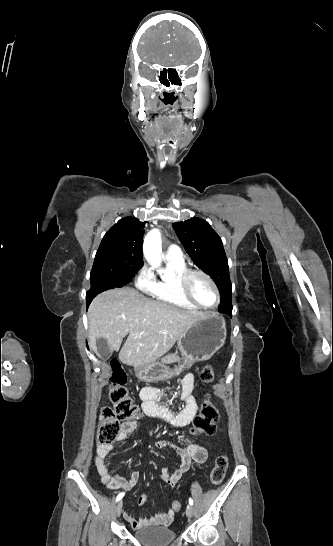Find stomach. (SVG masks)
<instances>
[{
	"mask_svg": "<svg viewBox=\"0 0 333 546\" xmlns=\"http://www.w3.org/2000/svg\"><path fill=\"white\" fill-rule=\"evenodd\" d=\"M226 324L222 316L209 313L190 326L178 340L183 361L174 369L163 361L134 367L136 377L145 382H157L178 375L198 361L209 360L225 343Z\"/></svg>",
	"mask_w": 333,
	"mask_h": 546,
	"instance_id": "obj_1",
	"label": "stomach"
}]
</instances>
